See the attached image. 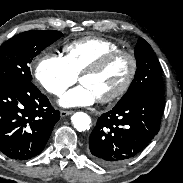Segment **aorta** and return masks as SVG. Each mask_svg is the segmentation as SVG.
<instances>
[{
	"label": "aorta",
	"mask_w": 183,
	"mask_h": 183,
	"mask_svg": "<svg viewBox=\"0 0 183 183\" xmlns=\"http://www.w3.org/2000/svg\"><path fill=\"white\" fill-rule=\"evenodd\" d=\"M73 126L80 132L90 129L91 118L84 112H76L72 115Z\"/></svg>",
	"instance_id": "aorta-1"
}]
</instances>
